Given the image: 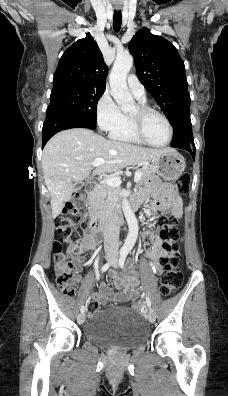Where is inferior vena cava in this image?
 I'll return each mask as SVG.
<instances>
[{
  "label": "inferior vena cava",
  "mask_w": 228,
  "mask_h": 396,
  "mask_svg": "<svg viewBox=\"0 0 228 396\" xmlns=\"http://www.w3.org/2000/svg\"><path fill=\"white\" fill-rule=\"evenodd\" d=\"M105 245L104 249L106 253L117 254L118 252V240L119 232L116 226L105 229L104 232Z\"/></svg>",
  "instance_id": "602c4592"
}]
</instances>
